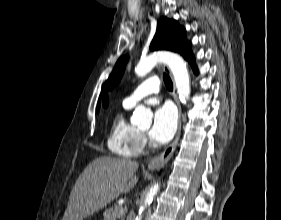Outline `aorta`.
Instances as JSON below:
<instances>
[{
  "label": "aorta",
  "instance_id": "762f6f07",
  "mask_svg": "<svg viewBox=\"0 0 281 220\" xmlns=\"http://www.w3.org/2000/svg\"><path fill=\"white\" fill-rule=\"evenodd\" d=\"M159 62L167 64L170 68L174 76L176 88L179 94V99L182 103H186V101L190 97L191 91L190 78L186 63L179 55L171 52H159L149 55L148 57L141 59L135 67L136 75L139 77L145 76ZM151 117L152 114L150 110H148L143 105H138L135 108V111L133 112V115L131 117V123L134 125H146L151 122ZM158 190V183H156L150 188L149 192L145 197L144 205L140 207L139 215L136 220L142 219V212L144 211L145 207L153 201V198L157 194Z\"/></svg>",
  "mask_w": 281,
  "mask_h": 220
}]
</instances>
